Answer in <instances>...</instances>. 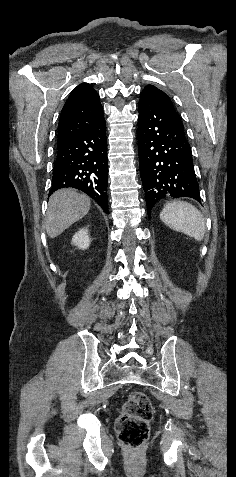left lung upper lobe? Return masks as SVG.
<instances>
[{
    "label": "left lung upper lobe",
    "instance_id": "5c2ea615",
    "mask_svg": "<svg viewBox=\"0 0 236 477\" xmlns=\"http://www.w3.org/2000/svg\"><path fill=\"white\" fill-rule=\"evenodd\" d=\"M145 88H149V89H152L156 92H158L160 94V96L162 97L163 101L165 102L166 106L168 107V110L169 112L175 117V119L182 124V121L180 119V116L178 115V113L176 112V110L174 109V106L172 104V101L170 100V98L168 97V95H166L163 91H161L160 89L156 88L155 86L153 85H148L146 86ZM183 125V124H182Z\"/></svg>",
    "mask_w": 236,
    "mask_h": 477
}]
</instances>
